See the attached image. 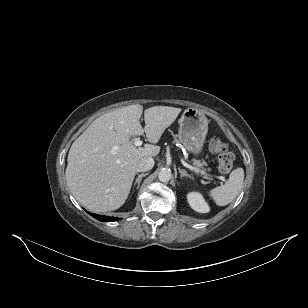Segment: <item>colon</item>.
Here are the masks:
<instances>
[{"mask_svg": "<svg viewBox=\"0 0 308 308\" xmlns=\"http://www.w3.org/2000/svg\"><path fill=\"white\" fill-rule=\"evenodd\" d=\"M209 151L218 158V170L221 174H228L234 162V155L220 138L214 137L209 142Z\"/></svg>", "mask_w": 308, "mask_h": 308, "instance_id": "obj_1", "label": "colon"}]
</instances>
